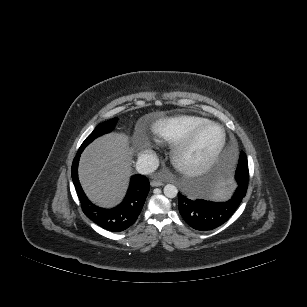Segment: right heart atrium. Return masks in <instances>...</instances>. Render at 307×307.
Segmentation results:
<instances>
[{
	"mask_svg": "<svg viewBox=\"0 0 307 307\" xmlns=\"http://www.w3.org/2000/svg\"><path fill=\"white\" fill-rule=\"evenodd\" d=\"M140 158L146 166H152L154 163L155 154L150 143L145 142L140 152Z\"/></svg>",
	"mask_w": 307,
	"mask_h": 307,
	"instance_id": "right-heart-atrium-1",
	"label": "right heart atrium"
}]
</instances>
